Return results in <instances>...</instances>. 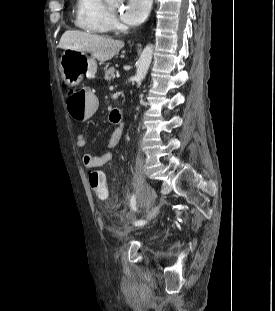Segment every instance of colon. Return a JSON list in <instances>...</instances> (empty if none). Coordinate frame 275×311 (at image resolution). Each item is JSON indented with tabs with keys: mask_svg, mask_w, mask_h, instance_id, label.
<instances>
[{
	"mask_svg": "<svg viewBox=\"0 0 275 311\" xmlns=\"http://www.w3.org/2000/svg\"><path fill=\"white\" fill-rule=\"evenodd\" d=\"M95 92H84L83 90L72 91L67 97V107L73 121H90L95 117V108L98 99ZM89 184L92 192L101 200L108 197L104 174L99 170L89 173Z\"/></svg>",
	"mask_w": 275,
	"mask_h": 311,
	"instance_id": "1",
	"label": "colon"
}]
</instances>
